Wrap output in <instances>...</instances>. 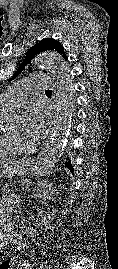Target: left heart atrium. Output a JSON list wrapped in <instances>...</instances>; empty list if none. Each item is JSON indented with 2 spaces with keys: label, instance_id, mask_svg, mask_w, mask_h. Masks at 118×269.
Instances as JSON below:
<instances>
[{
  "label": "left heart atrium",
  "instance_id": "39dd6f15",
  "mask_svg": "<svg viewBox=\"0 0 118 269\" xmlns=\"http://www.w3.org/2000/svg\"><path fill=\"white\" fill-rule=\"evenodd\" d=\"M51 120V112L41 101H33L27 104L24 122L25 132L32 139L42 138L48 131Z\"/></svg>",
  "mask_w": 118,
  "mask_h": 269
}]
</instances>
